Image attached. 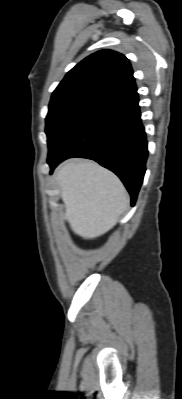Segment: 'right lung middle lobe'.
Returning a JSON list of instances; mask_svg holds the SVG:
<instances>
[{
  "label": "right lung middle lobe",
  "instance_id": "dd1d6c3e",
  "mask_svg": "<svg viewBox=\"0 0 182 399\" xmlns=\"http://www.w3.org/2000/svg\"><path fill=\"white\" fill-rule=\"evenodd\" d=\"M105 103L104 100L87 95L51 98L46 117L48 147H52L76 122Z\"/></svg>",
  "mask_w": 182,
  "mask_h": 399
}]
</instances>
